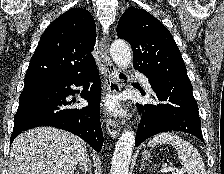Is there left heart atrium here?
Wrapping results in <instances>:
<instances>
[{"label":"left heart atrium","instance_id":"39dd6f15","mask_svg":"<svg viewBox=\"0 0 224 174\" xmlns=\"http://www.w3.org/2000/svg\"><path fill=\"white\" fill-rule=\"evenodd\" d=\"M106 106H107L108 110L114 114L121 113V108L119 106L117 99H115V98L107 99Z\"/></svg>","mask_w":224,"mask_h":174}]
</instances>
